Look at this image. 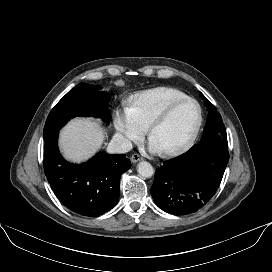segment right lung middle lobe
I'll use <instances>...</instances> for the list:
<instances>
[{
    "label": "right lung middle lobe",
    "mask_w": 272,
    "mask_h": 272,
    "mask_svg": "<svg viewBox=\"0 0 272 272\" xmlns=\"http://www.w3.org/2000/svg\"><path fill=\"white\" fill-rule=\"evenodd\" d=\"M101 87L80 83L70 90L52 109L44 127V141L58 134L62 126L74 117H101L110 121L109 95Z\"/></svg>",
    "instance_id": "right-lung-middle-lobe-1"
}]
</instances>
